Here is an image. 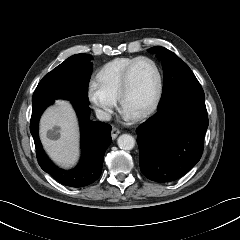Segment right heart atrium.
<instances>
[{
	"mask_svg": "<svg viewBox=\"0 0 240 240\" xmlns=\"http://www.w3.org/2000/svg\"><path fill=\"white\" fill-rule=\"evenodd\" d=\"M88 98L98 115L103 119L110 116L116 105V100L108 96L96 83L89 85Z\"/></svg>",
	"mask_w": 240,
	"mask_h": 240,
	"instance_id": "d8ad5b80",
	"label": "right heart atrium"
}]
</instances>
